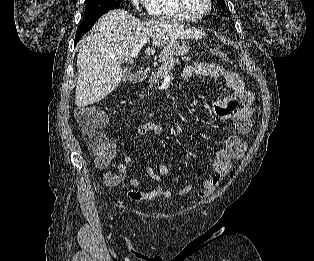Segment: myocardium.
Instances as JSON below:
<instances>
[{"label": "myocardium", "instance_id": "myocardium-1", "mask_svg": "<svg viewBox=\"0 0 314 261\" xmlns=\"http://www.w3.org/2000/svg\"><path fill=\"white\" fill-rule=\"evenodd\" d=\"M176 2L181 10L193 19H200L208 15L213 4L212 0H207V9L203 13H196L188 7L186 0H176Z\"/></svg>", "mask_w": 314, "mask_h": 261}]
</instances>
